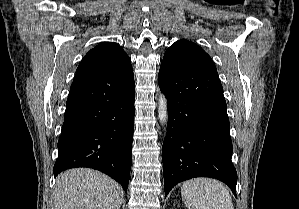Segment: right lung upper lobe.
<instances>
[{
	"label": "right lung upper lobe",
	"mask_w": 299,
	"mask_h": 209,
	"mask_svg": "<svg viewBox=\"0 0 299 209\" xmlns=\"http://www.w3.org/2000/svg\"><path fill=\"white\" fill-rule=\"evenodd\" d=\"M107 70L115 71L122 77L133 74L130 58L116 43L106 42L91 49L80 62L76 74Z\"/></svg>",
	"instance_id": "obj_1"
}]
</instances>
